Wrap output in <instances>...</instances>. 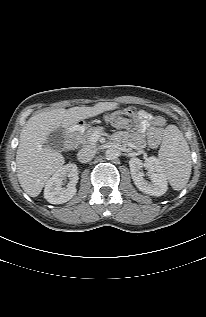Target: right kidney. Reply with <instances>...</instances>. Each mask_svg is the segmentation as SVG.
Segmentation results:
<instances>
[{
  "mask_svg": "<svg viewBox=\"0 0 206 317\" xmlns=\"http://www.w3.org/2000/svg\"><path fill=\"white\" fill-rule=\"evenodd\" d=\"M67 177L70 182L66 187H62ZM78 179L77 166L72 163L64 165L47 181L44 198L51 204H62L69 201L77 192L76 183Z\"/></svg>",
  "mask_w": 206,
  "mask_h": 317,
  "instance_id": "right-kidney-1",
  "label": "right kidney"
}]
</instances>
